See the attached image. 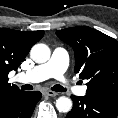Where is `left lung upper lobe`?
<instances>
[{
  "mask_svg": "<svg viewBox=\"0 0 118 118\" xmlns=\"http://www.w3.org/2000/svg\"><path fill=\"white\" fill-rule=\"evenodd\" d=\"M57 36L75 52V69L87 79V96L118 102V42L87 26L58 30Z\"/></svg>",
  "mask_w": 118,
  "mask_h": 118,
  "instance_id": "1",
  "label": "left lung upper lobe"
}]
</instances>
